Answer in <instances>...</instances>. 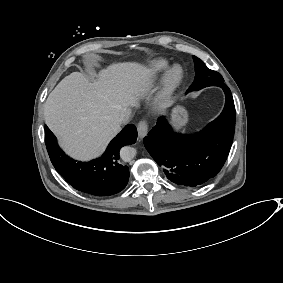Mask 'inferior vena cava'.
<instances>
[{
    "label": "inferior vena cava",
    "mask_w": 283,
    "mask_h": 283,
    "mask_svg": "<svg viewBox=\"0 0 283 283\" xmlns=\"http://www.w3.org/2000/svg\"><path fill=\"white\" fill-rule=\"evenodd\" d=\"M126 117H127V114L122 112L121 115L119 116V122L123 123L125 121Z\"/></svg>",
    "instance_id": "602c4592"
}]
</instances>
